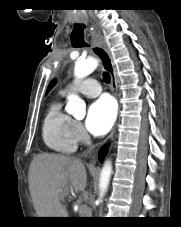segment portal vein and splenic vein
Here are the masks:
<instances>
[{
    "label": "portal vein and splenic vein",
    "mask_w": 181,
    "mask_h": 227,
    "mask_svg": "<svg viewBox=\"0 0 181 227\" xmlns=\"http://www.w3.org/2000/svg\"><path fill=\"white\" fill-rule=\"evenodd\" d=\"M80 209L82 210V212H86L87 206L86 205H81Z\"/></svg>",
    "instance_id": "obj_1"
}]
</instances>
